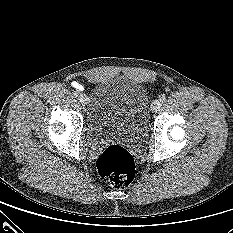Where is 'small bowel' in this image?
Masks as SVG:
<instances>
[{"mask_svg": "<svg viewBox=\"0 0 233 233\" xmlns=\"http://www.w3.org/2000/svg\"><path fill=\"white\" fill-rule=\"evenodd\" d=\"M74 86L77 87V88H79V89L82 88V86L79 83H74Z\"/></svg>", "mask_w": 233, "mask_h": 233, "instance_id": "small-bowel-1", "label": "small bowel"}]
</instances>
